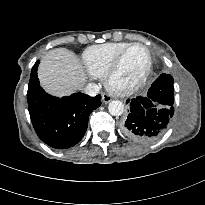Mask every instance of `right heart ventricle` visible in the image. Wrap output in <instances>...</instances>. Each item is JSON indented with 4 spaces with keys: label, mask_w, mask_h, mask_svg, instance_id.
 I'll return each mask as SVG.
<instances>
[{
    "label": "right heart ventricle",
    "mask_w": 205,
    "mask_h": 205,
    "mask_svg": "<svg viewBox=\"0 0 205 205\" xmlns=\"http://www.w3.org/2000/svg\"><path fill=\"white\" fill-rule=\"evenodd\" d=\"M130 44L111 42L88 47L82 54L84 68L93 77H103L117 55Z\"/></svg>",
    "instance_id": "right-heart-ventricle-1"
}]
</instances>
